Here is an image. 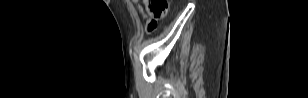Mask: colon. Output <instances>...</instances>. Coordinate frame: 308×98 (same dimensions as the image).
I'll return each instance as SVG.
<instances>
[{"label": "colon", "instance_id": "5ec220e1", "mask_svg": "<svg viewBox=\"0 0 308 98\" xmlns=\"http://www.w3.org/2000/svg\"><path fill=\"white\" fill-rule=\"evenodd\" d=\"M169 2L167 0H143L141 10L148 19V29L153 30L158 20L164 18L168 11Z\"/></svg>", "mask_w": 308, "mask_h": 98}]
</instances>
